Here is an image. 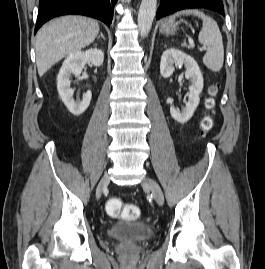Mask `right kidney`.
<instances>
[{
    "mask_svg": "<svg viewBox=\"0 0 265 269\" xmlns=\"http://www.w3.org/2000/svg\"><path fill=\"white\" fill-rule=\"evenodd\" d=\"M103 61L104 52L97 48L77 51L64 60L57 76V89L63 103L74 116H79L85 112L90 104L92 93L87 91L82 100L75 101L73 98L74 90L70 88V76L80 75L86 63L99 67L103 64Z\"/></svg>",
    "mask_w": 265,
    "mask_h": 269,
    "instance_id": "right-kidney-1",
    "label": "right kidney"
}]
</instances>
